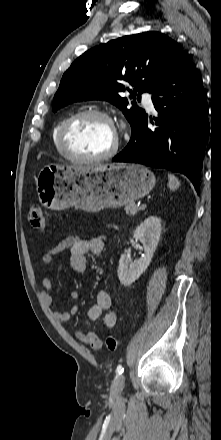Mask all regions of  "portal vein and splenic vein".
<instances>
[{"label":"portal vein and splenic vein","mask_w":221,"mask_h":440,"mask_svg":"<svg viewBox=\"0 0 221 440\" xmlns=\"http://www.w3.org/2000/svg\"><path fill=\"white\" fill-rule=\"evenodd\" d=\"M140 208H141V210H144V209L146 208V204H142V205L140 206Z\"/></svg>","instance_id":"obj_1"}]
</instances>
